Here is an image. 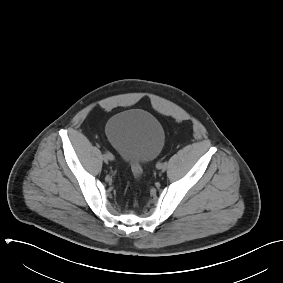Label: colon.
Listing matches in <instances>:
<instances>
[{"label": "colon", "instance_id": "obj_1", "mask_svg": "<svg viewBox=\"0 0 283 283\" xmlns=\"http://www.w3.org/2000/svg\"><path fill=\"white\" fill-rule=\"evenodd\" d=\"M131 168H132V172L134 174V177L137 180H140L141 177H142V167H141V165L139 163H132Z\"/></svg>", "mask_w": 283, "mask_h": 283}]
</instances>
